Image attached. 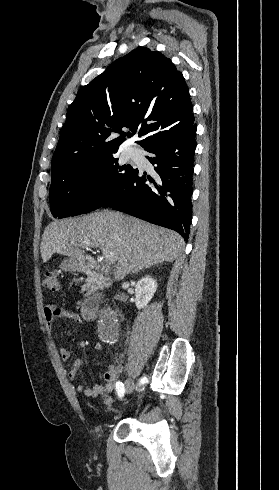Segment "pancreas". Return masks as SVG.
Here are the masks:
<instances>
[{"instance_id": "obj_1", "label": "pancreas", "mask_w": 279, "mask_h": 490, "mask_svg": "<svg viewBox=\"0 0 279 490\" xmlns=\"http://www.w3.org/2000/svg\"><path fill=\"white\" fill-rule=\"evenodd\" d=\"M107 282V278H104L102 274H93V276H89L86 278L85 284H83L81 288L80 294H84V296H91L94 294L98 288H103Z\"/></svg>"}]
</instances>
